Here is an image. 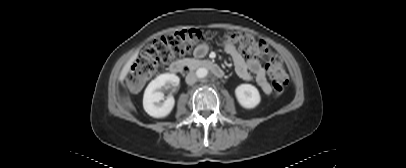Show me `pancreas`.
<instances>
[{
    "label": "pancreas",
    "instance_id": "cf45deb5",
    "mask_svg": "<svg viewBox=\"0 0 406 168\" xmlns=\"http://www.w3.org/2000/svg\"><path fill=\"white\" fill-rule=\"evenodd\" d=\"M189 61H190L191 63H194V62H195V60H194V59H190Z\"/></svg>",
    "mask_w": 406,
    "mask_h": 168
}]
</instances>
